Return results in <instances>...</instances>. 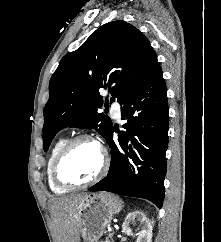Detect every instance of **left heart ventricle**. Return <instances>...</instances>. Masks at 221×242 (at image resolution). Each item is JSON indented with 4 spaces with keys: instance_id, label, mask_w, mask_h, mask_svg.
Returning a JSON list of instances; mask_svg holds the SVG:
<instances>
[{
    "instance_id": "obj_1",
    "label": "left heart ventricle",
    "mask_w": 221,
    "mask_h": 242,
    "mask_svg": "<svg viewBox=\"0 0 221 242\" xmlns=\"http://www.w3.org/2000/svg\"><path fill=\"white\" fill-rule=\"evenodd\" d=\"M101 164V154L92 142L75 144L63 161L60 174L66 181L83 182L92 178Z\"/></svg>"
}]
</instances>
